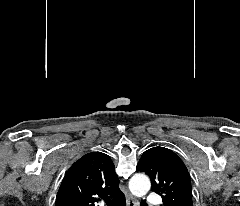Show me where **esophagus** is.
<instances>
[{
  "mask_svg": "<svg viewBox=\"0 0 240 206\" xmlns=\"http://www.w3.org/2000/svg\"><path fill=\"white\" fill-rule=\"evenodd\" d=\"M126 197V206H139L138 200L131 193L127 192Z\"/></svg>",
  "mask_w": 240,
  "mask_h": 206,
  "instance_id": "1",
  "label": "esophagus"
}]
</instances>
